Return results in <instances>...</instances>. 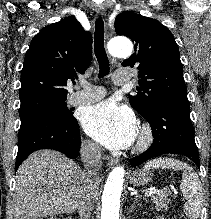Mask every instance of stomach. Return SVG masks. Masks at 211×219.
Returning <instances> with one entry per match:
<instances>
[{"label": "stomach", "instance_id": "1", "mask_svg": "<svg viewBox=\"0 0 211 219\" xmlns=\"http://www.w3.org/2000/svg\"><path fill=\"white\" fill-rule=\"evenodd\" d=\"M152 180V174L147 170H136L130 175V183L134 186H144Z\"/></svg>", "mask_w": 211, "mask_h": 219}]
</instances>
